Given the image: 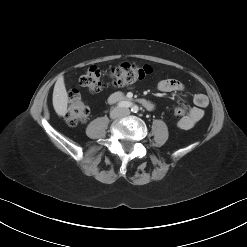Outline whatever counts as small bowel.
Wrapping results in <instances>:
<instances>
[{"mask_svg":"<svg viewBox=\"0 0 247 247\" xmlns=\"http://www.w3.org/2000/svg\"><path fill=\"white\" fill-rule=\"evenodd\" d=\"M158 89L161 92H180L184 90V85L176 79H165L158 83ZM194 106L189 112L180 117L177 125L180 129L188 130L193 128L204 116V108L208 106L209 100L205 94L198 93L193 98ZM148 109L153 108L149 101L144 103Z\"/></svg>","mask_w":247,"mask_h":247,"instance_id":"c3829d8e","label":"small bowel"}]
</instances>
